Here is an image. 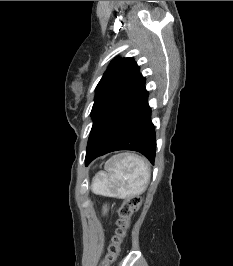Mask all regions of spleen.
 I'll list each match as a JSON object with an SVG mask.
<instances>
[{
    "instance_id": "spleen-1",
    "label": "spleen",
    "mask_w": 233,
    "mask_h": 266,
    "mask_svg": "<svg viewBox=\"0 0 233 266\" xmlns=\"http://www.w3.org/2000/svg\"><path fill=\"white\" fill-rule=\"evenodd\" d=\"M92 183L95 194L126 198L142 194L150 180V168L140 157L123 153L111 157Z\"/></svg>"
}]
</instances>
